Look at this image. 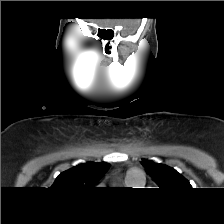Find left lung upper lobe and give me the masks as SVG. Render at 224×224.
<instances>
[{"label": "left lung upper lobe", "instance_id": "left-lung-upper-lobe-1", "mask_svg": "<svg viewBox=\"0 0 224 224\" xmlns=\"http://www.w3.org/2000/svg\"><path fill=\"white\" fill-rule=\"evenodd\" d=\"M143 163L144 168L150 173L152 179L161 189L168 191H182L192 188L189 181L175 169L148 160H143Z\"/></svg>", "mask_w": 224, "mask_h": 224}]
</instances>
